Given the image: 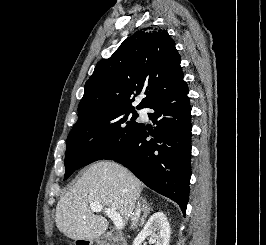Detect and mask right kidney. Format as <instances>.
<instances>
[{"label":"right kidney","mask_w":266,"mask_h":245,"mask_svg":"<svg viewBox=\"0 0 266 245\" xmlns=\"http://www.w3.org/2000/svg\"><path fill=\"white\" fill-rule=\"evenodd\" d=\"M147 237L156 239V245H169L170 227L164 213H154L144 225L142 231L133 241V245H141Z\"/></svg>","instance_id":"obj_1"}]
</instances>
